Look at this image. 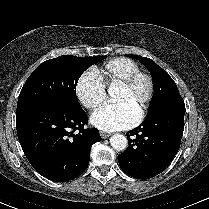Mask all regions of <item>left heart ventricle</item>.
Here are the masks:
<instances>
[{
  "mask_svg": "<svg viewBox=\"0 0 209 209\" xmlns=\"http://www.w3.org/2000/svg\"><path fill=\"white\" fill-rule=\"evenodd\" d=\"M148 93V84L145 79H139L131 89L118 88L115 95V101L128 102L139 114Z\"/></svg>",
  "mask_w": 209,
  "mask_h": 209,
  "instance_id": "obj_1",
  "label": "left heart ventricle"
}]
</instances>
